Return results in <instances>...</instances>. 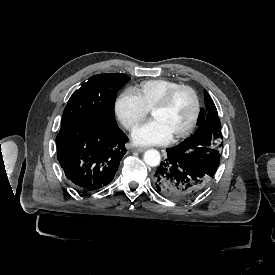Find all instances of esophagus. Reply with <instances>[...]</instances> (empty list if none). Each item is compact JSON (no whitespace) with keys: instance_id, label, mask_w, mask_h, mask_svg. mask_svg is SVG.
Here are the masks:
<instances>
[{"instance_id":"1","label":"esophagus","mask_w":275,"mask_h":275,"mask_svg":"<svg viewBox=\"0 0 275 275\" xmlns=\"http://www.w3.org/2000/svg\"><path fill=\"white\" fill-rule=\"evenodd\" d=\"M134 151L141 153L145 151V148L144 147L135 148Z\"/></svg>"}]
</instances>
